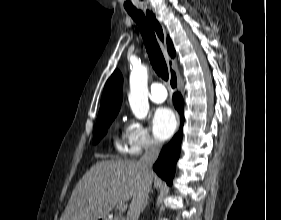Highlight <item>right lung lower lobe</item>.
<instances>
[{"label": "right lung lower lobe", "instance_id": "98d812e1", "mask_svg": "<svg viewBox=\"0 0 281 220\" xmlns=\"http://www.w3.org/2000/svg\"><path fill=\"white\" fill-rule=\"evenodd\" d=\"M173 102L175 108L181 113V128L179 132L173 137L170 143L163 148L161 154L153 166L154 171L168 184L172 183L175 173L176 162L180 155L181 141H182V126H183V100L180 94H174Z\"/></svg>", "mask_w": 281, "mask_h": 220}]
</instances>
